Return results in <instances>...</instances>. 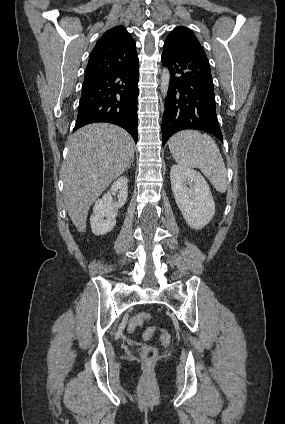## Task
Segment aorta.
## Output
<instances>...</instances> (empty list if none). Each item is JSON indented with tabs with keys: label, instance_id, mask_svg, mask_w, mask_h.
I'll return each instance as SVG.
<instances>
[{
	"label": "aorta",
	"instance_id": "aorta-1",
	"mask_svg": "<svg viewBox=\"0 0 285 424\" xmlns=\"http://www.w3.org/2000/svg\"><path fill=\"white\" fill-rule=\"evenodd\" d=\"M170 71L168 68H163L161 72L160 90L163 97H166L169 91Z\"/></svg>",
	"mask_w": 285,
	"mask_h": 424
}]
</instances>
